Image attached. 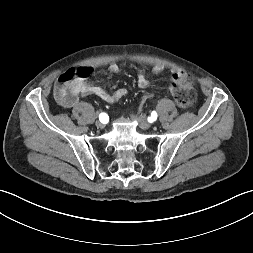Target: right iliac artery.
Segmentation results:
<instances>
[{"label":"right iliac artery","mask_w":253,"mask_h":253,"mask_svg":"<svg viewBox=\"0 0 253 253\" xmlns=\"http://www.w3.org/2000/svg\"><path fill=\"white\" fill-rule=\"evenodd\" d=\"M99 120L102 122V123H105L107 120H108V115L106 113H100L99 115Z\"/></svg>","instance_id":"right-iliac-artery-1"}]
</instances>
